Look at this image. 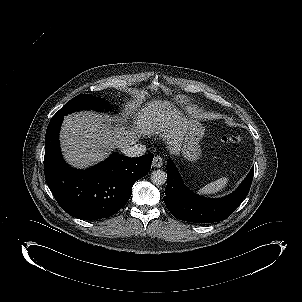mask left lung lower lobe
Returning a JSON list of instances; mask_svg holds the SVG:
<instances>
[{
    "label": "left lung lower lobe",
    "mask_w": 302,
    "mask_h": 302,
    "mask_svg": "<svg viewBox=\"0 0 302 302\" xmlns=\"http://www.w3.org/2000/svg\"><path fill=\"white\" fill-rule=\"evenodd\" d=\"M254 168L233 193L223 198L207 199L189 190L171 160L167 161V179L163 198L168 210L177 219L195 222H218L230 216L247 196Z\"/></svg>",
    "instance_id": "obj_1"
}]
</instances>
